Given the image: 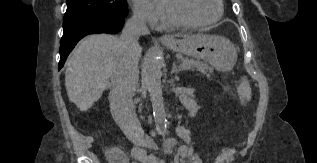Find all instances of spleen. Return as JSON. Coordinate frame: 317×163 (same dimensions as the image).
Returning <instances> with one entry per match:
<instances>
[{"instance_id": "1", "label": "spleen", "mask_w": 317, "mask_h": 163, "mask_svg": "<svg viewBox=\"0 0 317 163\" xmlns=\"http://www.w3.org/2000/svg\"><path fill=\"white\" fill-rule=\"evenodd\" d=\"M237 92H238L239 98L241 100L250 99L251 89H250V85H249V82H248L246 77L242 78V81L237 88Z\"/></svg>"}]
</instances>
